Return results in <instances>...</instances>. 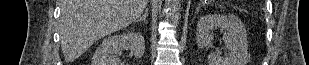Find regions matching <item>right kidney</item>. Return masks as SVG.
<instances>
[{
	"mask_svg": "<svg viewBox=\"0 0 309 65\" xmlns=\"http://www.w3.org/2000/svg\"><path fill=\"white\" fill-rule=\"evenodd\" d=\"M124 47L128 48L136 59L141 58L145 51L144 37L136 32L108 36L96 49L92 65H121L116 54Z\"/></svg>",
	"mask_w": 309,
	"mask_h": 65,
	"instance_id": "1",
	"label": "right kidney"
}]
</instances>
